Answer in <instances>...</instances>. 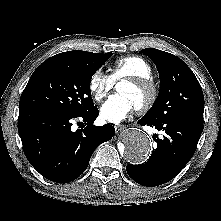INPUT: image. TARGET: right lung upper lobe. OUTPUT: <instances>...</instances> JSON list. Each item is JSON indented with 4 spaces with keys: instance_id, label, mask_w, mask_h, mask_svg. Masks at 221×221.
I'll list each match as a JSON object with an SVG mask.
<instances>
[{
    "instance_id": "cb5924a9",
    "label": "right lung upper lobe",
    "mask_w": 221,
    "mask_h": 221,
    "mask_svg": "<svg viewBox=\"0 0 221 221\" xmlns=\"http://www.w3.org/2000/svg\"><path fill=\"white\" fill-rule=\"evenodd\" d=\"M99 53L87 51H68L59 53L47 59V61L64 62L73 64H88L95 59Z\"/></svg>"
}]
</instances>
